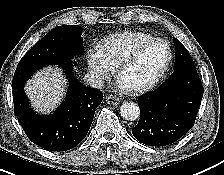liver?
Listing matches in <instances>:
<instances>
[{
	"label": "liver",
	"mask_w": 224,
	"mask_h": 175,
	"mask_svg": "<svg viewBox=\"0 0 224 175\" xmlns=\"http://www.w3.org/2000/svg\"><path fill=\"white\" fill-rule=\"evenodd\" d=\"M25 91L36 111L49 114L65 93L62 73L54 68L44 69L26 84Z\"/></svg>",
	"instance_id": "obj_1"
}]
</instances>
